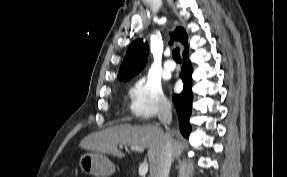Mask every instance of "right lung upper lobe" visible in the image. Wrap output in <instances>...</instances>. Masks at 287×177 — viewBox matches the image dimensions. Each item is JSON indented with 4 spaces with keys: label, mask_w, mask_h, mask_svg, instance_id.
<instances>
[{
    "label": "right lung upper lobe",
    "mask_w": 287,
    "mask_h": 177,
    "mask_svg": "<svg viewBox=\"0 0 287 177\" xmlns=\"http://www.w3.org/2000/svg\"><path fill=\"white\" fill-rule=\"evenodd\" d=\"M180 41L187 47V33L183 28H176L172 33V41ZM148 55V43L142 39H137L129 46L126 56L120 66L118 79L129 80L139 73L145 66Z\"/></svg>",
    "instance_id": "obj_1"
}]
</instances>
